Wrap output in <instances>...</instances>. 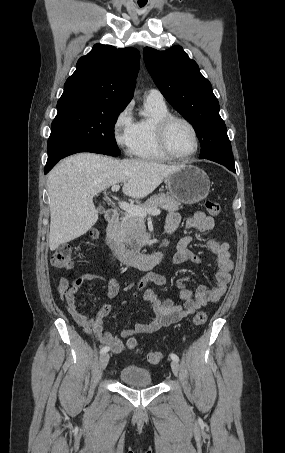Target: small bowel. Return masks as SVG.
I'll use <instances>...</instances> for the list:
<instances>
[{
	"label": "small bowel",
	"instance_id": "obj_1",
	"mask_svg": "<svg viewBox=\"0 0 285 453\" xmlns=\"http://www.w3.org/2000/svg\"><path fill=\"white\" fill-rule=\"evenodd\" d=\"M180 222L181 218L179 214L175 212L169 213L166 218V233L168 235L174 234L178 230ZM185 227L187 229H195L199 232L207 233L214 228V220L204 212L197 211L193 216L186 220ZM192 240L193 236H184L180 238L177 243L176 254L172 258L173 264L179 265L187 260L200 262L199 256L188 249V245ZM207 246L217 258L218 270L215 276L214 286L208 288L205 285H198L196 290L192 291L188 288V284L193 282L191 277L179 279L177 281V287L180 290L179 299L181 303H177L175 299L171 298L160 299L154 290H145L143 298L146 305L152 310V317L147 321L137 323L133 329L121 330L120 334L123 338L156 332L165 326L178 322L189 314H193L196 310L208 303L218 301L223 296L230 281L231 271L233 269L229 243L210 239L207 242ZM113 260L114 259L112 258L111 261ZM99 277L100 276L95 273H86L79 276L72 284H70L68 278L63 277L59 281L58 291L64 297L72 317L81 327L83 332L88 335H93L101 345L109 348L113 353L118 354L125 350V343L111 332L104 330L103 320L114 308L121 310L123 309V306H103L97 311L93 318L84 316L77 309L76 294L79 289L85 283ZM106 280L107 284L104 289L107 295L110 298H113L119 292V285L112 277L107 278ZM148 282H153L158 286H165L166 278L159 273H150L139 283V289H144ZM136 296L137 295H135V297ZM79 306H82V302L79 303Z\"/></svg>",
	"mask_w": 285,
	"mask_h": 453
}]
</instances>
